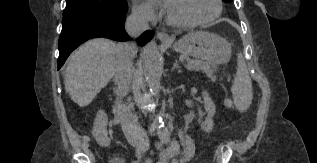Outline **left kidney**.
Masks as SVG:
<instances>
[{
  "mask_svg": "<svg viewBox=\"0 0 317 163\" xmlns=\"http://www.w3.org/2000/svg\"><path fill=\"white\" fill-rule=\"evenodd\" d=\"M202 97L204 99V107L207 113V118L201 124V129L206 133H210L214 127L213 116L216 113V107L206 91L202 92Z\"/></svg>",
  "mask_w": 317,
  "mask_h": 163,
  "instance_id": "1",
  "label": "left kidney"
}]
</instances>
